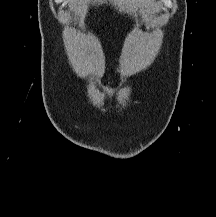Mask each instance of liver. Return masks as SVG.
I'll return each mask as SVG.
<instances>
[{"mask_svg": "<svg viewBox=\"0 0 216 217\" xmlns=\"http://www.w3.org/2000/svg\"><path fill=\"white\" fill-rule=\"evenodd\" d=\"M109 2L120 13H128L137 17L138 12H143L145 8H148L152 0H109ZM103 3H107V0H69L70 7L80 17L86 15L89 4L100 5Z\"/></svg>", "mask_w": 216, "mask_h": 217, "instance_id": "1", "label": "liver"}]
</instances>
